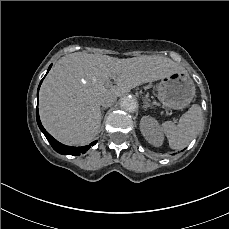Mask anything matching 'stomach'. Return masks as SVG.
Returning a JSON list of instances; mask_svg holds the SVG:
<instances>
[{"instance_id":"obj_1","label":"stomach","mask_w":229,"mask_h":229,"mask_svg":"<svg viewBox=\"0 0 229 229\" xmlns=\"http://www.w3.org/2000/svg\"><path fill=\"white\" fill-rule=\"evenodd\" d=\"M195 92V84L187 72H174L157 85V98L171 109L187 107Z\"/></svg>"}]
</instances>
